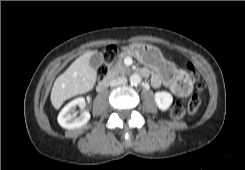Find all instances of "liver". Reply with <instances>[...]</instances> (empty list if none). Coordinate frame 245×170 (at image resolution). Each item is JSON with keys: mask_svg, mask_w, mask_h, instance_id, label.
<instances>
[{"mask_svg": "<svg viewBox=\"0 0 245 170\" xmlns=\"http://www.w3.org/2000/svg\"><path fill=\"white\" fill-rule=\"evenodd\" d=\"M93 53V51L84 53L57 77L50 96L55 109H59L67 99L92 90L97 77L96 70L89 64Z\"/></svg>", "mask_w": 245, "mask_h": 170, "instance_id": "obj_1", "label": "liver"}]
</instances>
